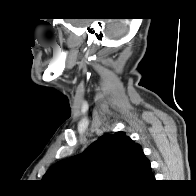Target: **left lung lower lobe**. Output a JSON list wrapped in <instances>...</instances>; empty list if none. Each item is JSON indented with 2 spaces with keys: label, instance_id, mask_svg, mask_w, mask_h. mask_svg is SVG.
<instances>
[{
  "label": "left lung lower lobe",
  "instance_id": "obj_1",
  "mask_svg": "<svg viewBox=\"0 0 196 196\" xmlns=\"http://www.w3.org/2000/svg\"><path fill=\"white\" fill-rule=\"evenodd\" d=\"M154 180V175L151 172V164L149 161H146L137 175L135 182L138 184H146L153 182Z\"/></svg>",
  "mask_w": 196,
  "mask_h": 196
}]
</instances>
